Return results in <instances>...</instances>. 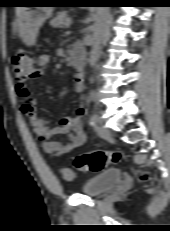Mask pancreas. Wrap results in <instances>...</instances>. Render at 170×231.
Wrapping results in <instances>:
<instances>
[{
    "label": "pancreas",
    "instance_id": "1",
    "mask_svg": "<svg viewBox=\"0 0 170 231\" xmlns=\"http://www.w3.org/2000/svg\"><path fill=\"white\" fill-rule=\"evenodd\" d=\"M68 19L69 17L67 11H62L50 21V25L54 28H61L65 26Z\"/></svg>",
    "mask_w": 170,
    "mask_h": 231
}]
</instances>
